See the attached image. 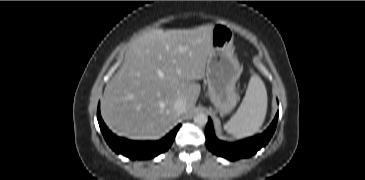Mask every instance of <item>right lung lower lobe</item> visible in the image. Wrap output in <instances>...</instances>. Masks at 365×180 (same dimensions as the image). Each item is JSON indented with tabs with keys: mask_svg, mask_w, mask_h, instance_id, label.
Wrapping results in <instances>:
<instances>
[{
	"mask_svg": "<svg viewBox=\"0 0 365 180\" xmlns=\"http://www.w3.org/2000/svg\"><path fill=\"white\" fill-rule=\"evenodd\" d=\"M97 119L102 134L108 145L118 154H122L130 159H149L169 149L174 141L175 135L180 128V124L175 127L163 139L156 142H138L117 137L103 122L100 115V105H98Z\"/></svg>",
	"mask_w": 365,
	"mask_h": 180,
	"instance_id": "98d812e1",
	"label": "right lung lower lobe"
}]
</instances>
